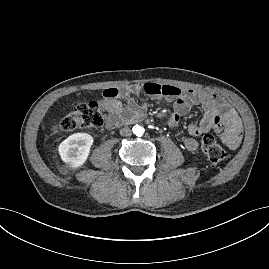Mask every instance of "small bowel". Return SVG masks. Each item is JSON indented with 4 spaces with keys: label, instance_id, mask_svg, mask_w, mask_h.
<instances>
[{
    "label": "small bowel",
    "instance_id": "obj_1",
    "mask_svg": "<svg viewBox=\"0 0 269 269\" xmlns=\"http://www.w3.org/2000/svg\"><path fill=\"white\" fill-rule=\"evenodd\" d=\"M145 92L157 99L174 103V113L169 124L174 126L180 116L199 105L204 114L199 122L188 125V136L182 142L188 151H196L198 142L193 136L214 130L231 149L239 147L242 139V123L236 111L220 96L204 90L180 89L157 83L135 84L127 88H107L103 91L101 107L109 113L107 128L112 129L125 122L139 120L144 116L145 105L136 102L132 95Z\"/></svg>",
    "mask_w": 269,
    "mask_h": 269
}]
</instances>
